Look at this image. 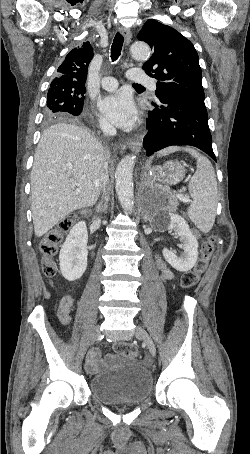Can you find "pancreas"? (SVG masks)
Wrapping results in <instances>:
<instances>
[{"instance_id":"pancreas-1","label":"pancreas","mask_w":250,"mask_h":454,"mask_svg":"<svg viewBox=\"0 0 250 454\" xmlns=\"http://www.w3.org/2000/svg\"><path fill=\"white\" fill-rule=\"evenodd\" d=\"M168 197H169V199L171 201V204H172L173 208H176L177 205H178V201L175 199L174 195L170 193L168 195Z\"/></svg>"}]
</instances>
